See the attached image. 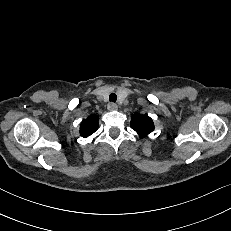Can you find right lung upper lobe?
Segmentation results:
<instances>
[{"mask_svg":"<svg viewBox=\"0 0 231 231\" xmlns=\"http://www.w3.org/2000/svg\"><path fill=\"white\" fill-rule=\"evenodd\" d=\"M98 120V116L93 115L82 121L80 124V135L85 138L92 135L98 129Z\"/></svg>","mask_w":231,"mask_h":231,"instance_id":"1","label":"right lung upper lobe"}]
</instances>
